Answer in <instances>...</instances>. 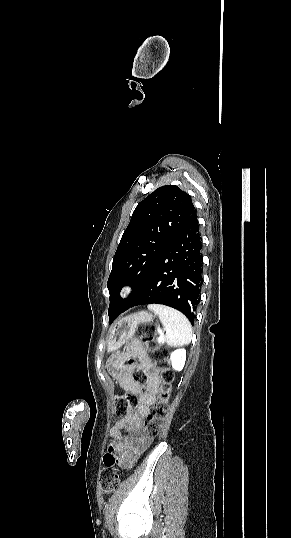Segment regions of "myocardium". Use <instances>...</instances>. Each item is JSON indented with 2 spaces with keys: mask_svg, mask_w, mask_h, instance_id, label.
<instances>
[{
  "mask_svg": "<svg viewBox=\"0 0 291 538\" xmlns=\"http://www.w3.org/2000/svg\"><path fill=\"white\" fill-rule=\"evenodd\" d=\"M134 291V286L130 284L124 285L119 291V298L125 299Z\"/></svg>",
  "mask_w": 291,
  "mask_h": 538,
  "instance_id": "1",
  "label": "myocardium"
}]
</instances>
